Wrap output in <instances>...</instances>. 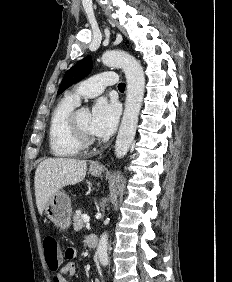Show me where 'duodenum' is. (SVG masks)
Returning <instances> with one entry per match:
<instances>
[{
    "label": "duodenum",
    "mask_w": 232,
    "mask_h": 282,
    "mask_svg": "<svg viewBox=\"0 0 232 282\" xmlns=\"http://www.w3.org/2000/svg\"><path fill=\"white\" fill-rule=\"evenodd\" d=\"M86 244L90 248H96L98 245V237L94 234L88 235L86 237Z\"/></svg>",
    "instance_id": "410a0bca"
}]
</instances>
